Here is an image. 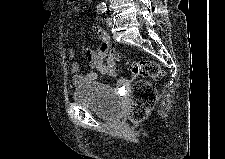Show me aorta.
<instances>
[{
  "instance_id": "762f6f07",
  "label": "aorta",
  "mask_w": 225,
  "mask_h": 159,
  "mask_svg": "<svg viewBox=\"0 0 225 159\" xmlns=\"http://www.w3.org/2000/svg\"><path fill=\"white\" fill-rule=\"evenodd\" d=\"M101 5H102V6H104V5H105V3H104V2H101Z\"/></svg>"
}]
</instances>
